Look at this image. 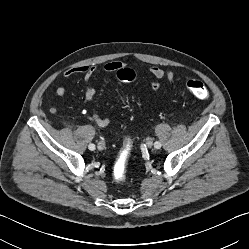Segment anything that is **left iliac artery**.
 Listing matches in <instances>:
<instances>
[{"instance_id":"left-iliac-artery-1","label":"left iliac artery","mask_w":249,"mask_h":249,"mask_svg":"<svg viewBox=\"0 0 249 249\" xmlns=\"http://www.w3.org/2000/svg\"><path fill=\"white\" fill-rule=\"evenodd\" d=\"M154 147H155L156 149L161 148V143L158 142V141H156V142L154 143Z\"/></svg>"}]
</instances>
